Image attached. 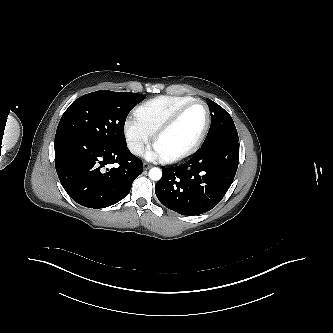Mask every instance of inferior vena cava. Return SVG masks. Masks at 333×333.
Masks as SVG:
<instances>
[{
  "label": "inferior vena cava",
  "mask_w": 333,
  "mask_h": 333,
  "mask_svg": "<svg viewBox=\"0 0 333 333\" xmlns=\"http://www.w3.org/2000/svg\"><path fill=\"white\" fill-rule=\"evenodd\" d=\"M129 149L133 154L140 155L144 151V145L142 143L133 142L129 144Z\"/></svg>",
  "instance_id": "1"
}]
</instances>
